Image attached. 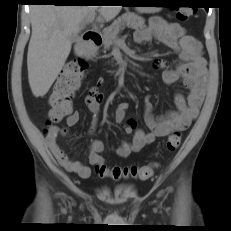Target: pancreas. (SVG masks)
Masks as SVG:
<instances>
[{"label":"pancreas","instance_id":"pancreas-1","mask_svg":"<svg viewBox=\"0 0 231 231\" xmlns=\"http://www.w3.org/2000/svg\"><path fill=\"white\" fill-rule=\"evenodd\" d=\"M126 26L132 29H143L145 27V19L132 12H126L118 17L109 27L103 30L105 49H109L114 44L119 32Z\"/></svg>","mask_w":231,"mask_h":231}]
</instances>
